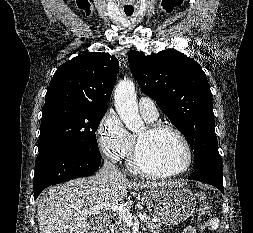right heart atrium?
<instances>
[{
  "label": "right heart atrium",
  "mask_w": 253,
  "mask_h": 233,
  "mask_svg": "<svg viewBox=\"0 0 253 233\" xmlns=\"http://www.w3.org/2000/svg\"><path fill=\"white\" fill-rule=\"evenodd\" d=\"M100 152L113 162H119L131 145V135L114 111L107 112L97 128Z\"/></svg>",
  "instance_id": "d8ad5b80"
}]
</instances>
